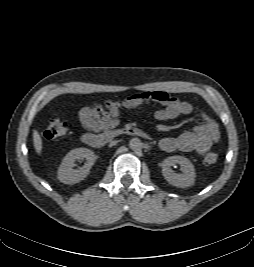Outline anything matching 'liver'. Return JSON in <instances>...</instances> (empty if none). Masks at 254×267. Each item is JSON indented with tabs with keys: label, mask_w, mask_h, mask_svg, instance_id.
<instances>
[{
	"label": "liver",
	"mask_w": 254,
	"mask_h": 267,
	"mask_svg": "<svg viewBox=\"0 0 254 267\" xmlns=\"http://www.w3.org/2000/svg\"><path fill=\"white\" fill-rule=\"evenodd\" d=\"M42 144H43L42 139H41L38 131L34 130L33 131V145H34V149L38 155H40L42 152V148H43Z\"/></svg>",
	"instance_id": "6515ba94"
}]
</instances>
